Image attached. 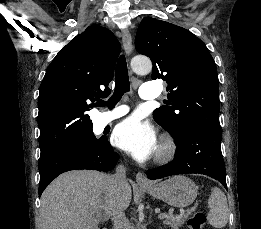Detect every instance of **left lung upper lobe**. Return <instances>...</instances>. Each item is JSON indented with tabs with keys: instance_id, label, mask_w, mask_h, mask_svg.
Masks as SVG:
<instances>
[{
	"instance_id": "5c2ea615",
	"label": "left lung upper lobe",
	"mask_w": 261,
	"mask_h": 229,
	"mask_svg": "<svg viewBox=\"0 0 261 229\" xmlns=\"http://www.w3.org/2000/svg\"><path fill=\"white\" fill-rule=\"evenodd\" d=\"M135 47L151 58L152 79L168 84L165 102L171 106L157 108L153 117L175 141L197 124L220 129L217 69L200 39L182 27L147 17L138 27Z\"/></svg>"
}]
</instances>
